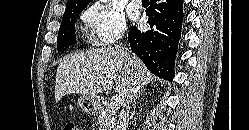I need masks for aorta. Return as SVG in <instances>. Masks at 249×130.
Returning <instances> with one entry per match:
<instances>
[{
    "mask_svg": "<svg viewBox=\"0 0 249 130\" xmlns=\"http://www.w3.org/2000/svg\"><path fill=\"white\" fill-rule=\"evenodd\" d=\"M103 2H107V0H103Z\"/></svg>",
    "mask_w": 249,
    "mask_h": 130,
    "instance_id": "1",
    "label": "aorta"
}]
</instances>
